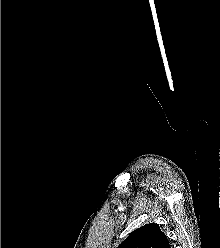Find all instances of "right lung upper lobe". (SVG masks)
I'll return each instance as SVG.
<instances>
[{
  "label": "right lung upper lobe",
  "instance_id": "right-lung-upper-lobe-1",
  "mask_svg": "<svg viewBox=\"0 0 220 248\" xmlns=\"http://www.w3.org/2000/svg\"><path fill=\"white\" fill-rule=\"evenodd\" d=\"M117 248H170L166 235L150 223L133 231Z\"/></svg>",
  "mask_w": 220,
  "mask_h": 248
}]
</instances>
